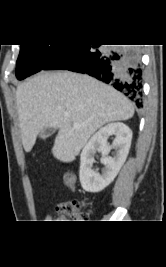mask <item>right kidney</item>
I'll use <instances>...</instances> for the list:
<instances>
[{"instance_id": "1", "label": "right kidney", "mask_w": 166, "mask_h": 267, "mask_svg": "<svg viewBox=\"0 0 166 267\" xmlns=\"http://www.w3.org/2000/svg\"><path fill=\"white\" fill-rule=\"evenodd\" d=\"M115 135L110 145L107 140ZM132 131L123 123H110L96 132L83 148L80 155L79 178L82 188L87 192H100L117 176L124 164L131 146ZM111 149H116L114 157L108 156ZM101 152L104 168L101 174L93 170L94 155Z\"/></svg>"}]
</instances>
